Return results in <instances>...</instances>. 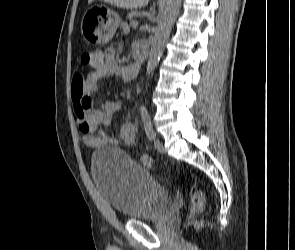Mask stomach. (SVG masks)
Here are the masks:
<instances>
[{"label": "stomach", "instance_id": "1", "mask_svg": "<svg viewBox=\"0 0 295 250\" xmlns=\"http://www.w3.org/2000/svg\"><path fill=\"white\" fill-rule=\"evenodd\" d=\"M120 21L119 15L108 7L94 5L82 18L81 32L90 45H107Z\"/></svg>", "mask_w": 295, "mask_h": 250}]
</instances>
